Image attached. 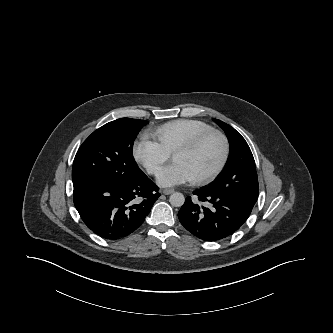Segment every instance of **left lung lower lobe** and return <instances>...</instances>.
Listing matches in <instances>:
<instances>
[{
	"mask_svg": "<svg viewBox=\"0 0 333 333\" xmlns=\"http://www.w3.org/2000/svg\"><path fill=\"white\" fill-rule=\"evenodd\" d=\"M200 206L187 197L178 212L181 224L204 241H218L236 232L249 217L252 208L225 192L205 187L193 192Z\"/></svg>",
	"mask_w": 333,
	"mask_h": 333,
	"instance_id": "1",
	"label": "left lung lower lobe"
}]
</instances>
